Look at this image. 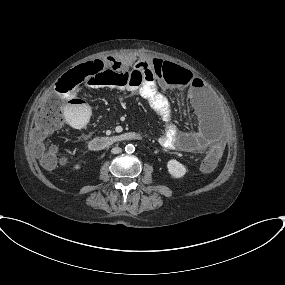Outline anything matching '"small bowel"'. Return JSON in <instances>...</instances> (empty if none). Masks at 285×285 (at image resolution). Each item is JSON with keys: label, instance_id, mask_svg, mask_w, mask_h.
Listing matches in <instances>:
<instances>
[{"label": "small bowel", "instance_id": "c3829d8e", "mask_svg": "<svg viewBox=\"0 0 285 285\" xmlns=\"http://www.w3.org/2000/svg\"><path fill=\"white\" fill-rule=\"evenodd\" d=\"M115 62L118 68L126 70L130 66L139 69L144 74V83L140 95L147 100L153 110L164 124L163 132L159 138L162 147L169 150H182L192 156H201L213 153L215 150L221 153L224 150V143L216 127L205 118L201 120L199 128L194 132L182 131L173 122V109L169 98L162 94L159 84L165 88L180 90L186 89L192 101L198 108L203 106L201 96L200 80L191 71L184 73H173L168 77L160 79L159 72L164 68L165 62L162 59H141L133 61L129 57L117 58ZM184 69V68H183ZM70 81H63L62 86H68ZM92 88H103L106 85L99 79L88 81ZM65 116L71 128H80L82 120L90 119V107L88 103L79 96H72L65 105Z\"/></svg>", "mask_w": 285, "mask_h": 285}]
</instances>
